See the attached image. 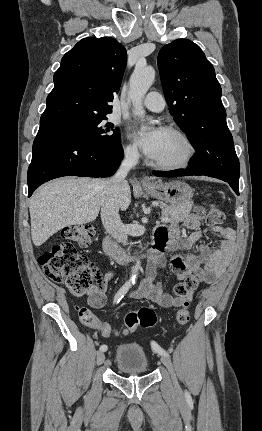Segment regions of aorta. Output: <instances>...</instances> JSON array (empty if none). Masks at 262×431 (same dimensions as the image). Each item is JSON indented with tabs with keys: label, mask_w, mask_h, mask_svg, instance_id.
<instances>
[{
	"label": "aorta",
	"mask_w": 262,
	"mask_h": 431,
	"mask_svg": "<svg viewBox=\"0 0 262 431\" xmlns=\"http://www.w3.org/2000/svg\"><path fill=\"white\" fill-rule=\"evenodd\" d=\"M155 79V70L151 66L137 65L130 78L129 97L132 101V112L139 118L145 117V110L142 106V100L153 84ZM140 269V261L137 260L132 270L131 281L135 282Z\"/></svg>",
	"instance_id": "aorta-1"
}]
</instances>
